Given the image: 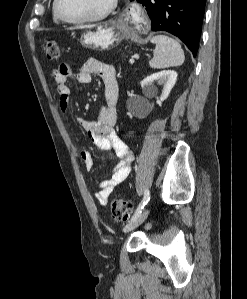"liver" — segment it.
<instances>
[{"label":"liver","instance_id":"obj_1","mask_svg":"<svg viewBox=\"0 0 247 299\" xmlns=\"http://www.w3.org/2000/svg\"><path fill=\"white\" fill-rule=\"evenodd\" d=\"M93 27L92 25H83V26H78L76 28H70V29H85V28H91Z\"/></svg>","mask_w":247,"mask_h":299}]
</instances>
